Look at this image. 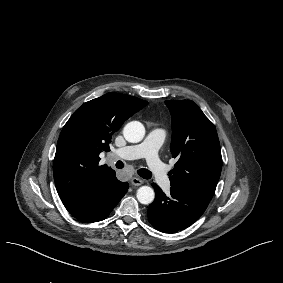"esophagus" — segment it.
Segmentation results:
<instances>
[{"mask_svg": "<svg viewBox=\"0 0 283 283\" xmlns=\"http://www.w3.org/2000/svg\"><path fill=\"white\" fill-rule=\"evenodd\" d=\"M144 182L143 180L139 179V178H132L131 179V184L134 185V186H140L142 185Z\"/></svg>", "mask_w": 283, "mask_h": 283, "instance_id": "obj_1", "label": "esophagus"}]
</instances>
